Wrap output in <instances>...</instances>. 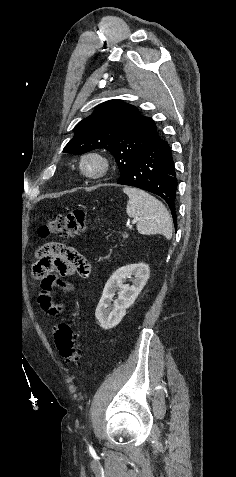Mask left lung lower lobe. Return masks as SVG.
I'll return each instance as SVG.
<instances>
[{"label": "left lung lower lobe", "mask_w": 236, "mask_h": 477, "mask_svg": "<svg viewBox=\"0 0 236 477\" xmlns=\"http://www.w3.org/2000/svg\"><path fill=\"white\" fill-rule=\"evenodd\" d=\"M118 184L149 191L168 204L175 227V200L177 179L169 144L157 133L150 144L132 161L125 178Z\"/></svg>", "instance_id": "left-lung-lower-lobe-1"}]
</instances>
